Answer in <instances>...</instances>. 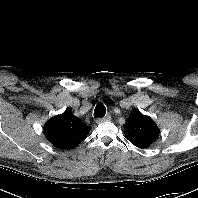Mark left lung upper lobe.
<instances>
[{
    "mask_svg": "<svg viewBox=\"0 0 198 198\" xmlns=\"http://www.w3.org/2000/svg\"><path fill=\"white\" fill-rule=\"evenodd\" d=\"M124 126L126 138L139 148H147L159 137V128L156 123L138 109H134Z\"/></svg>",
    "mask_w": 198,
    "mask_h": 198,
    "instance_id": "obj_1",
    "label": "left lung upper lobe"
}]
</instances>
